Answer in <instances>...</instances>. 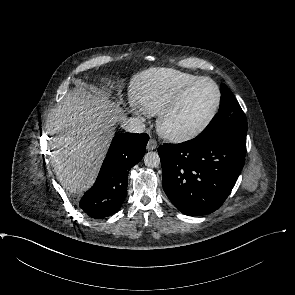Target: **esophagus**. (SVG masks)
I'll return each mask as SVG.
<instances>
[{
    "instance_id": "34e87169",
    "label": "esophagus",
    "mask_w": 295,
    "mask_h": 295,
    "mask_svg": "<svg viewBox=\"0 0 295 295\" xmlns=\"http://www.w3.org/2000/svg\"><path fill=\"white\" fill-rule=\"evenodd\" d=\"M147 150H154L157 148V142L154 139H150L146 146Z\"/></svg>"
}]
</instances>
